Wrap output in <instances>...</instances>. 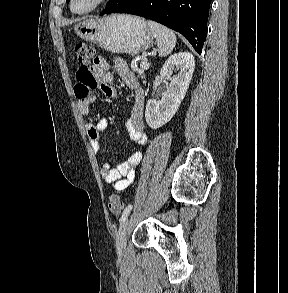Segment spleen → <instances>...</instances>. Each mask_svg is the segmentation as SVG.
Instances as JSON below:
<instances>
[{
	"instance_id": "obj_1",
	"label": "spleen",
	"mask_w": 288,
	"mask_h": 293,
	"mask_svg": "<svg viewBox=\"0 0 288 293\" xmlns=\"http://www.w3.org/2000/svg\"><path fill=\"white\" fill-rule=\"evenodd\" d=\"M148 26L156 39L159 56L165 57L169 55L174 49L177 41L174 32L167 27L150 20L148 21Z\"/></svg>"
}]
</instances>
